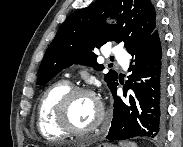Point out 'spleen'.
Returning <instances> with one entry per match:
<instances>
[{"label": "spleen", "mask_w": 183, "mask_h": 147, "mask_svg": "<svg viewBox=\"0 0 183 147\" xmlns=\"http://www.w3.org/2000/svg\"><path fill=\"white\" fill-rule=\"evenodd\" d=\"M120 147H137L134 142H120Z\"/></svg>", "instance_id": "spleen-1"}]
</instances>
